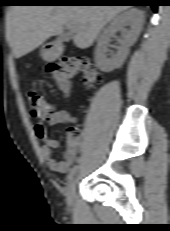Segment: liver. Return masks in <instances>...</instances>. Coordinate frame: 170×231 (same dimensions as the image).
Listing matches in <instances>:
<instances>
[{
    "instance_id": "liver-1",
    "label": "liver",
    "mask_w": 170,
    "mask_h": 231,
    "mask_svg": "<svg viewBox=\"0 0 170 231\" xmlns=\"http://www.w3.org/2000/svg\"><path fill=\"white\" fill-rule=\"evenodd\" d=\"M128 8L125 5L13 6L7 13V40L13 55L20 58L35 50L48 38L61 35L64 27L69 25L76 33L75 45L86 49L93 44L109 21Z\"/></svg>"
}]
</instances>
